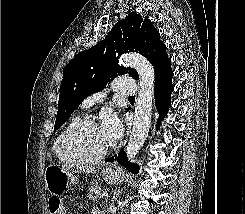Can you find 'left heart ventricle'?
Instances as JSON below:
<instances>
[{
    "instance_id": "left-heart-ventricle-1",
    "label": "left heart ventricle",
    "mask_w": 245,
    "mask_h": 214,
    "mask_svg": "<svg viewBox=\"0 0 245 214\" xmlns=\"http://www.w3.org/2000/svg\"><path fill=\"white\" fill-rule=\"evenodd\" d=\"M74 149L84 156H97L109 148L99 126H88L74 138Z\"/></svg>"
}]
</instances>
